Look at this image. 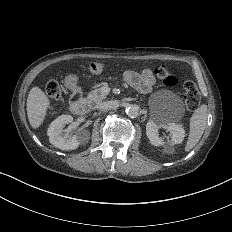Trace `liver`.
I'll list each match as a JSON object with an SVG mask.
<instances>
[{
    "mask_svg": "<svg viewBox=\"0 0 232 232\" xmlns=\"http://www.w3.org/2000/svg\"><path fill=\"white\" fill-rule=\"evenodd\" d=\"M47 105L45 94L38 88L31 89L27 99V114L29 122L34 128L41 124Z\"/></svg>",
    "mask_w": 232,
    "mask_h": 232,
    "instance_id": "obj_1",
    "label": "liver"
}]
</instances>
